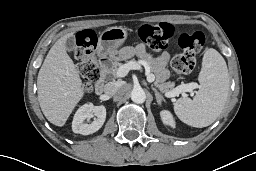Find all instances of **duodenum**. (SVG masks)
<instances>
[{"mask_svg":"<svg viewBox=\"0 0 256 171\" xmlns=\"http://www.w3.org/2000/svg\"><path fill=\"white\" fill-rule=\"evenodd\" d=\"M112 65V61L109 58L102 57L98 60V66L100 69V78L95 85V92L102 94L105 87L106 73Z\"/></svg>","mask_w":256,"mask_h":171,"instance_id":"410a0bca","label":"duodenum"}]
</instances>
